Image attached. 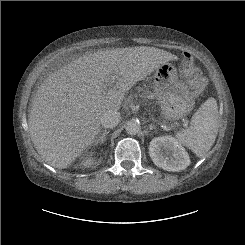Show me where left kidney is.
I'll return each mask as SVG.
<instances>
[{
	"instance_id": "left-kidney-1",
	"label": "left kidney",
	"mask_w": 245,
	"mask_h": 245,
	"mask_svg": "<svg viewBox=\"0 0 245 245\" xmlns=\"http://www.w3.org/2000/svg\"><path fill=\"white\" fill-rule=\"evenodd\" d=\"M149 155L153 163L166 171H181L190 165V157L182 145L171 136L152 139Z\"/></svg>"
}]
</instances>
